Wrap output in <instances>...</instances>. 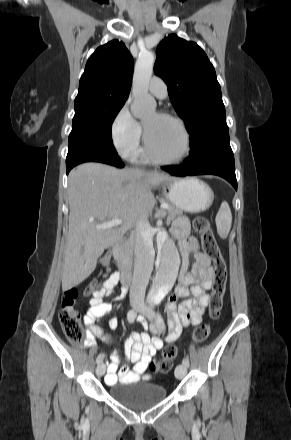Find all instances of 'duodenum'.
Here are the masks:
<instances>
[{
	"label": "duodenum",
	"mask_w": 291,
	"mask_h": 440,
	"mask_svg": "<svg viewBox=\"0 0 291 440\" xmlns=\"http://www.w3.org/2000/svg\"><path fill=\"white\" fill-rule=\"evenodd\" d=\"M122 242L123 238L121 236H117L113 242L112 248L115 253V262L118 266L119 271L121 272L123 284L128 285L131 280V274L129 262L121 250Z\"/></svg>",
	"instance_id": "duodenum-1"
}]
</instances>
